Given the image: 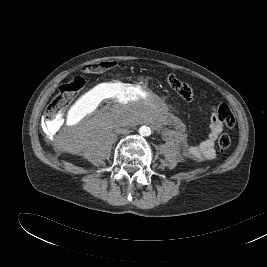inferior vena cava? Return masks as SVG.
<instances>
[{"label": "inferior vena cava", "mask_w": 267, "mask_h": 267, "mask_svg": "<svg viewBox=\"0 0 267 267\" xmlns=\"http://www.w3.org/2000/svg\"><path fill=\"white\" fill-rule=\"evenodd\" d=\"M122 132H124V133H129L130 131L129 130H123Z\"/></svg>", "instance_id": "obj_1"}]
</instances>
